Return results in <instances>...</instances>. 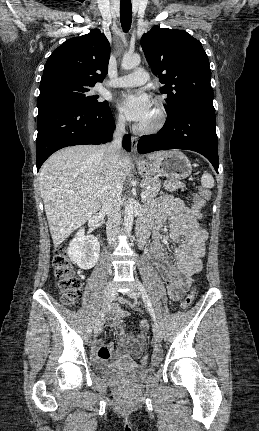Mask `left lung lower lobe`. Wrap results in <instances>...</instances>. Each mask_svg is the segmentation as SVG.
Segmentation results:
<instances>
[{
	"mask_svg": "<svg viewBox=\"0 0 259 431\" xmlns=\"http://www.w3.org/2000/svg\"><path fill=\"white\" fill-rule=\"evenodd\" d=\"M215 111L186 106L168 114L159 133L142 136L138 141V152L186 149L205 156L218 173V140Z\"/></svg>",
	"mask_w": 259,
	"mask_h": 431,
	"instance_id": "obj_1",
	"label": "left lung lower lobe"
}]
</instances>
